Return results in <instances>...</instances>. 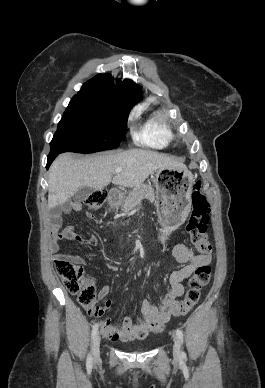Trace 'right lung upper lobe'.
I'll use <instances>...</instances> for the list:
<instances>
[{"mask_svg": "<svg viewBox=\"0 0 265 388\" xmlns=\"http://www.w3.org/2000/svg\"><path fill=\"white\" fill-rule=\"evenodd\" d=\"M141 94V88L131 80L118 81L114 86L110 75L100 74L83 84L77 96L113 97L137 103L141 99Z\"/></svg>", "mask_w": 265, "mask_h": 388, "instance_id": "obj_1", "label": "right lung upper lobe"}]
</instances>
